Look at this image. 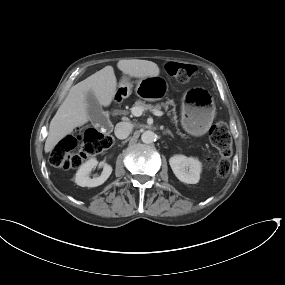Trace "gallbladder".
<instances>
[{"mask_svg": "<svg viewBox=\"0 0 285 285\" xmlns=\"http://www.w3.org/2000/svg\"><path fill=\"white\" fill-rule=\"evenodd\" d=\"M86 101H87V112L90 117V119L94 123H99L101 125H108L109 120L107 116L105 115L102 106L99 104L96 96L94 95L93 92H88L86 96Z\"/></svg>", "mask_w": 285, "mask_h": 285, "instance_id": "bac80fb5", "label": "gallbladder"}]
</instances>
